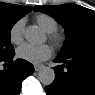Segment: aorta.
<instances>
[{"mask_svg": "<svg viewBox=\"0 0 95 95\" xmlns=\"http://www.w3.org/2000/svg\"><path fill=\"white\" fill-rule=\"evenodd\" d=\"M25 39L29 42H36L39 40L40 36L38 31L33 27H28L24 33ZM39 81L48 86L53 83L55 79L54 70L50 67H43L38 72Z\"/></svg>", "mask_w": 95, "mask_h": 95, "instance_id": "762f6f07", "label": "aorta"}]
</instances>
